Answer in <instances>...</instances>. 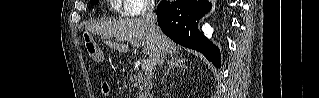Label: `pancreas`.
<instances>
[{
	"instance_id": "obj_1",
	"label": "pancreas",
	"mask_w": 319,
	"mask_h": 98,
	"mask_svg": "<svg viewBox=\"0 0 319 98\" xmlns=\"http://www.w3.org/2000/svg\"><path fill=\"white\" fill-rule=\"evenodd\" d=\"M131 79H135V88L137 98H147L152 94L153 84L149 74L139 72L138 75L134 74Z\"/></svg>"
}]
</instances>
